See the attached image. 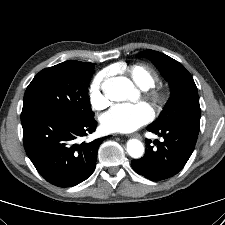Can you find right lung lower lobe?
Here are the masks:
<instances>
[{
	"mask_svg": "<svg viewBox=\"0 0 225 225\" xmlns=\"http://www.w3.org/2000/svg\"><path fill=\"white\" fill-rule=\"evenodd\" d=\"M25 151L39 174L58 187H72L94 171L99 145L105 138L78 143L95 131V119L79 121L60 111L22 110Z\"/></svg>",
	"mask_w": 225,
	"mask_h": 225,
	"instance_id": "obj_1",
	"label": "right lung lower lobe"
}]
</instances>
